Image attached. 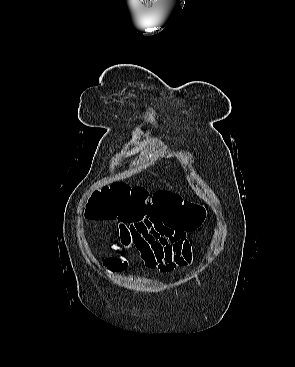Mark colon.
I'll list each match as a JSON object with an SVG mask.
<instances>
[{
  "label": "colon",
  "instance_id": "colon-1",
  "mask_svg": "<svg viewBox=\"0 0 295 367\" xmlns=\"http://www.w3.org/2000/svg\"><path fill=\"white\" fill-rule=\"evenodd\" d=\"M86 214L94 220L167 221L190 232L203 223L205 209L170 192L159 191L149 197L142 187L115 183L94 193Z\"/></svg>",
  "mask_w": 295,
  "mask_h": 367
}]
</instances>
